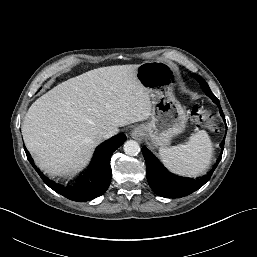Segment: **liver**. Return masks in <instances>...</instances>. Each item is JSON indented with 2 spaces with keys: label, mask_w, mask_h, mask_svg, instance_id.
I'll return each instance as SVG.
<instances>
[{
  "label": "liver",
  "mask_w": 257,
  "mask_h": 257,
  "mask_svg": "<svg viewBox=\"0 0 257 257\" xmlns=\"http://www.w3.org/2000/svg\"><path fill=\"white\" fill-rule=\"evenodd\" d=\"M136 70L137 65L93 69L38 98L22 123L37 166L51 176L74 175L102 142L101 132L147 120L151 95Z\"/></svg>",
  "instance_id": "obj_1"
}]
</instances>
